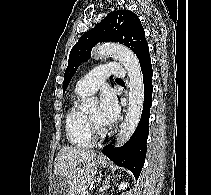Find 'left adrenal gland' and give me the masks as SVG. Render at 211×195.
Returning <instances> with one entry per match:
<instances>
[{"mask_svg":"<svg viewBox=\"0 0 211 195\" xmlns=\"http://www.w3.org/2000/svg\"><path fill=\"white\" fill-rule=\"evenodd\" d=\"M114 177H117V175L114 176ZM108 183H109V179L105 181V184H104V189L105 190L109 189V187H110V185H108Z\"/></svg>","mask_w":211,"mask_h":195,"instance_id":"1","label":"left adrenal gland"}]
</instances>
